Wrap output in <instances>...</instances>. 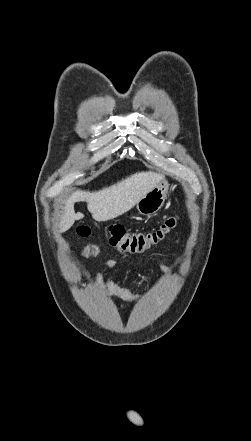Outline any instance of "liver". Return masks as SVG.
Listing matches in <instances>:
<instances>
[{
	"label": "liver",
	"mask_w": 251,
	"mask_h": 441,
	"mask_svg": "<svg viewBox=\"0 0 251 441\" xmlns=\"http://www.w3.org/2000/svg\"><path fill=\"white\" fill-rule=\"evenodd\" d=\"M162 180V175L154 172H138L118 183L96 192L76 191L66 201L61 217L60 231L71 228L75 220L83 214L75 213L74 203L86 201L92 217L101 222L108 221L126 213Z\"/></svg>",
	"instance_id": "1"
}]
</instances>
